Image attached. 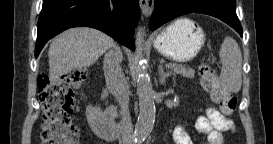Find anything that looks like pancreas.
Returning a JSON list of instances; mask_svg holds the SVG:
<instances>
[{
  "instance_id": "1",
  "label": "pancreas",
  "mask_w": 273,
  "mask_h": 144,
  "mask_svg": "<svg viewBox=\"0 0 273 144\" xmlns=\"http://www.w3.org/2000/svg\"><path fill=\"white\" fill-rule=\"evenodd\" d=\"M174 69V72L177 73V74H180L186 78H194V75H195V71L193 69H190V68H186L185 66L183 65H177ZM108 112L110 115H116V111H115V108L113 106H110L108 108Z\"/></svg>"
}]
</instances>
